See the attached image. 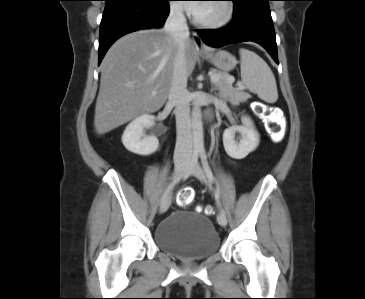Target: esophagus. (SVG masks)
I'll use <instances>...</instances> for the list:
<instances>
[{"label":"esophagus","mask_w":365,"mask_h":299,"mask_svg":"<svg viewBox=\"0 0 365 299\" xmlns=\"http://www.w3.org/2000/svg\"><path fill=\"white\" fill-rule=\"evenodd\" d=\"M193 44L197 51H202L205 49V45L203 44L201 38L196 34L193 35Z\"/></svg>","instance_id":"esophagus-1"}]
</instances>
